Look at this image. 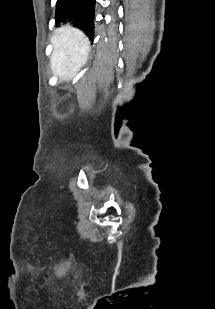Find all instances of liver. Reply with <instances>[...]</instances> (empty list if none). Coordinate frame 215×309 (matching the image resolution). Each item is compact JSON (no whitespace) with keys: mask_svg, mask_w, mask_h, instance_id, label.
<instances>
[{"mask_svg":"<svg viewBox=\"0 0 215 309\" xmlns=\"http://www.w3.org/2000/svg\"><path fill=\"white\" fill-rule=\"evenodd\" d=\"M51 42L54 46L51 62L55 74L63 80H72L88 60L89 38L79 28L61 26L56 28Z\"/></svg>","mask_w":215,"mask_h":309,"instance_id":"obj_1","label":"liver"}]
</instances>
